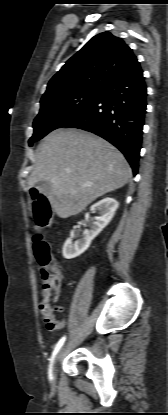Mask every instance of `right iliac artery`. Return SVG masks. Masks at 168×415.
<instances>
[{
  "label": "right iliac artery",
  "instance_id": "right-iliac-artery-1",
  "mask_svg": "<svg viewBox=\"0 0 168 415\" xmlns=\"http://www.w3.org/2000/svg\"><path fill=\"white\" fill-rule=\"evenodd\" d=\"M65 340H66V336L62 337V338L58 341V343L56 344V346H55V348H54V351H53V353H52V357H51V359H50V365H49V378H50V379H52V374H51V373H52V364H53L54 358H55L56 354L58 353L59 349H60V348L62 347V345L64 344Z\"/></svg>",
  "mask_w": 168,
  "mask_h": 415
}]
</instances>
